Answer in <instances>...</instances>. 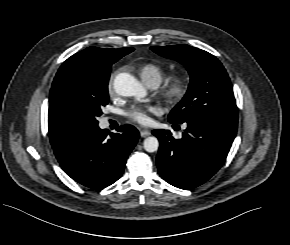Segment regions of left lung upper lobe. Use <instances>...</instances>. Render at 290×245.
<instances>
[{"label":"left lung upper lobe","instance_id":"1","mask_svg":"<svg viewBox=\"0 0 290 245\" xmlns=\"http://www.w3.org/2000/svg\"><path fill=\"white\" fill-rule=\"evenodd\" d=\"M151 50L182 63L190 74L188 91L170 112L169 121L182 123L193 116L204 115L237 126V106L231 81L215 56L189 45L153 46Z\"/></svg>","mask_w":290,"mask_h":245}]
</instances>
